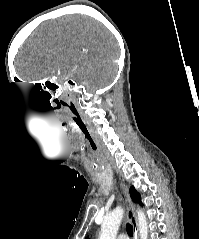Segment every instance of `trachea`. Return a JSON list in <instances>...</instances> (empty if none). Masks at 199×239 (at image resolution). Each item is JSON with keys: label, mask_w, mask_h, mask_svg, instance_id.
Here are the masks:
<instances>
[{"label": "trachea", "mask_w": 199, "mask_h": 239, "mask_svg": "<svg viewBox=\"0 0 199 239\" xmlns=\"http://www.w3.org/2000/svg\"><path fill=\"white\" fill-rule=\"evenodd\" d=\"M126 230H127V233L130 235V236H133V227L131 224L127 223L126 224Z\"/></svg>", "instance_id": "1"}]
</instances>
